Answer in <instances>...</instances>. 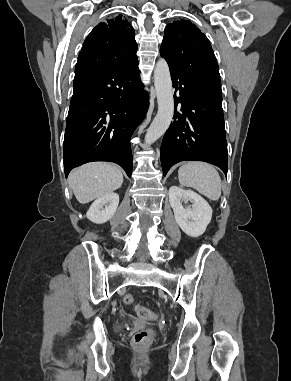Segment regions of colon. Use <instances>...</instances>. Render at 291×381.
<instances>
[{
  "label": "colon",
  "instance_id": "1",
  "mask_svg": "<svg viewBox=\"0 0 291 381\" xmlns=\"http://www.w3.org/2000/svg\"><path fill=\"white\" fill-rule=\"evenodd\" d=\"M133 301H134V298L131 294H126L123 297V302L127 305L132 304ZM136 313L139 318L144 320H155L157 318V315L155 312H153L151 309L143 305L136 306ZM152 340H153V334L149 330L139 331L133 336V344L139 348L149 346L152 343Z\"/></svg>",
  "mask_w": 291,
  "mask_h": 381
}]
</instances>
